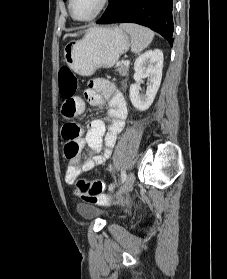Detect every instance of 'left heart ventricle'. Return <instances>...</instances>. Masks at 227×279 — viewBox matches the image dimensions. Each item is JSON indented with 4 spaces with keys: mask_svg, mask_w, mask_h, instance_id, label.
<instances>
[{
    "mask_svg": "<svg viewBox=\"0 0 227 279\" xmlns=\"http://www.w3.org/2000/svg\"><path fill=\"white\" fill-rule=\"evenodd\" d=\"M100 0H73V13L77 18L83 19L92 15L99 6Z\"/></svg>",
    "mask_w": 227,
    "mask_h": 279,
    "instance_id": "obj_1",
    "label": "left heart ventricle"
}]
</instances>
